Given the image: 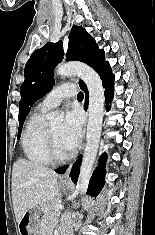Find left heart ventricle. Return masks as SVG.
I'll use <instances>...</instances> for the list:
<instances>
[{
    "mask_svg": "<svg viewBox=\"0 0 155 235\" xmlns=\"http://www.w3.org/2000/svg\"><path fill=\"white\" fill-rule=\"evenodd\" d=\"M49 130L54 138L57 151L61 154L68 153V150L64 147V145L62 144L60 140L61 124L53 125L49 128Z\"/></svg>",
    "mask_w": 155,
    "mask_h": 235,
    "instance_id": "obj_1",
    "label": "left heart ventricle"
}]
</instances>
